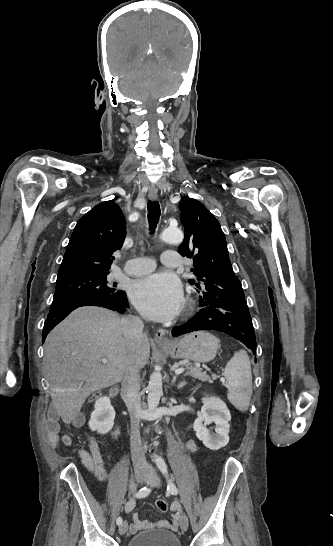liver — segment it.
I'll return each mask as SVG.
<instances>
[{"mask_svg":"<svg viewBox=\"0 0 333 546\" xmlns=\"http://www.w3.org/2000/svg\"><path fill=\"white\" fill-rule=\"evenodd\" d=\"M120 322L113 311L81 307L47 336L45 369L53 405L64 423L78 417L91 392L120 382L130 367L140 370L147 364L148 337L132 347Z\"/></svg>","mask_w":333,"mask_h":546,"instance_id":"6515ba94","label":"liver"}]
</instances>
